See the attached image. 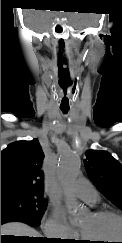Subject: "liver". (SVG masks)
<instances>
[{
	"label": "liver",
	"instance_id": "obj_1",
	"mask_svg": "<svg viewBox=\"0 0 122 243\" xmlns=\"http://www.w3.org/2000/svg\"><path fill=\"white\" fill-rule=\"evenodd\" d=\"M1 235L40 237V234L32 227L21 222H10L1 225ZM38 239V238H32ZM34 241V240H30Z\"/></svg>",
	"mask_w": 122,
	"mask_h": 243
}]
</instances>
